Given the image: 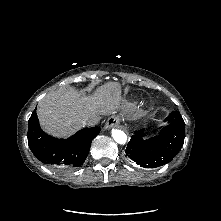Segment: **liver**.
I'll use <instances>...</instances> for the list:
<instances>
[{
  "label": "liver",
  "mask_w": 221,
  "mask_h": 221,
  "mask_svg": "<svg viewBox=\"0 0 221 221\" xmlns=\"http://www.w3.org/2000/svg\"><path fill=\"white\" fill-rule=\"evenodd\" d=\"M121 101V86L108 82L93 95H80L74 88L62 86L47 94L37 107L41 127L55 137H67L82 128L87 117L114 112Z\"/></svg>",
  "instance_id": "obj_1"
}]
</instances>
